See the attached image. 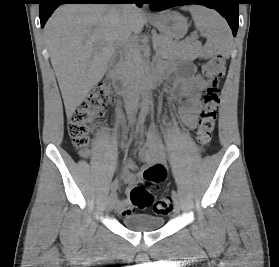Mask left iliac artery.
I'll return each instance as SVG.
<instances>
[{"label": "left iliac artery", "mask_w": 279, "mask_h": 267, "mask_svg": "<svg viewBox=\"0 0 279 267\" xmlns=\"http://www.w3.org/2000/svg\"><path fill=\"white\" fill-rule=\"evenodd\" d=\"M172 197H173V200L178 198V194L175 190L172 191Z\"/></svg>", "instance_id": "left-iliac-artery-1"}]
</instances>
